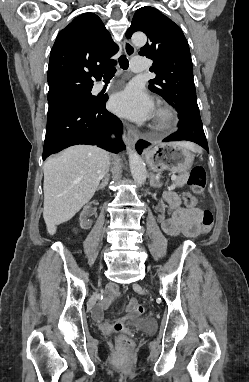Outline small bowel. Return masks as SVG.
Wrapping results in <instances>:
<instances>
[{"label":"small bowel","mask_w":249,"mask_h":382,"mask_svg":"<svg viewBox=\"0 0 249 382\" xmlns=\"http://www.w3.org/2000/svg\"><path fill=\"white\" fill-rule=\"evenodd\" d=\"M165 199L171 209V215L167 218H161V225L165 233L170 236L182 234L186 237H196L201 232L200 222L203 211L200 208H187L181 205L177 195L166 194ZM117 293V286L109 284L106 289L107 298H112ZM135 306V301L130 302V307Z\"/></svg>","instance_id":"small-bowel-1"}]
</instances>
